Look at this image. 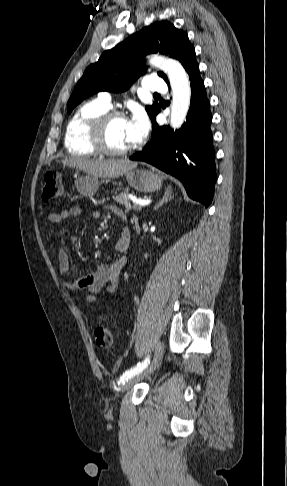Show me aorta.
Returning <instances> with one entry per match:
<instances>
[{
  "label": "aorta",
  "instance_id": "aorta-1",
  "mask_svg": "<svg viewBox=\"0 0 287 486\" xmlns=\"http://www.w3.org/2000/svg\"><path fill=\"white\" fill-rule=\"evenodd\" d=\"M153 65L168 72L173 86V102L171 106L170 125L173 129L180 128L186 120L190 107L191 88L189 77L180 62L164 57L151 58Z\"/></svg>",
  "mask_w": 287,
  "mask_h": 486
}]
</instances>
